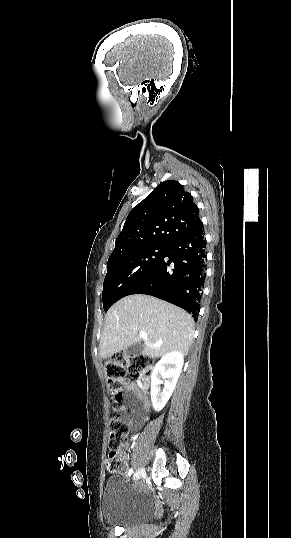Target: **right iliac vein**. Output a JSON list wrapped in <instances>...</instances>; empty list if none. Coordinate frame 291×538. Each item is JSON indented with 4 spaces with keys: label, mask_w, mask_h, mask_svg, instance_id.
<instances>
[{
    "label": "right iliac vein",
    "mask_w": 291,
    "mask_h": 538,
    "mask_svg": "<svg viewBox=\"0 0 291 538\" xmlns=\"http://www.w3.org/2000/svg\"><path fill=\"white\" fill-rule=\"evenodd\" d=\"M144 468H139L137 472L134 474V479H140L144 475Z\"/></svg>",
    "instance_id": "63e3f726"
}]
</instances>
